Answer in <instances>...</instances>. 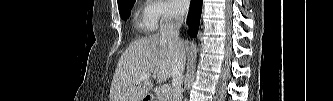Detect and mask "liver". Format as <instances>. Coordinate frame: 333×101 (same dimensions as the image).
<instances>
[{"instance_id": "liver-1", "label": "liver", "mask_w": 333, "mask_h": 101, "mask_svg": "<svg viewBox=\"0 0 333 101\" xmlns=\"http://www.w3.org/2000/svg\"><path fill=\"white\" fill-rule=\"evenodd\" d=\"M174 53L160 34L132 42L118 61L110 87V101H142L153 86L144 74L155 73L158 82L172 77Z\"/></svg>"}]
</instances>
